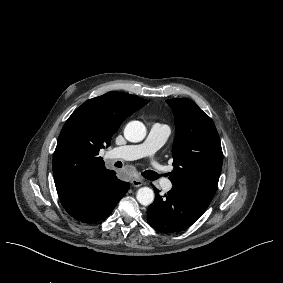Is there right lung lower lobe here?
I'll use <instances>...</instances> for the list:
<instances>
[{"mask_svg":"<svg viewBox=\"0 0 283 283\" xmlns=\"http://www.w3.org/2000/svg\"><path fill=\"white\" fill-rule=\"evenodd\" d=\"M128 189V182L119 180L115 171L107 170L77 195L60 201L73 218L90 223L107 218Z\"/></svg>","mask_w":283,"mask_h":283,"instance_id":"1","label":"right lung lower lobe"}]
</instances>
